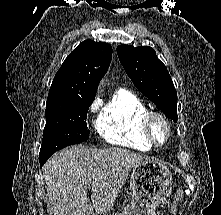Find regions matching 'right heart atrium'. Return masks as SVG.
Listing matches in <instances>:
<instances>
[{
  "instance_id": "obj_1",
  "label": "right heart atrium",
  "mask_w": 221,
  "mask_h": 215,
  "mask_svg": "<svg viewBox=\"0 0 221 215\" xmlns=\"http://www.w3.org/2000/svg\"><path fill=\"white\" fill-rule=\"evenodd\" d=\"M99 108V102L98 101H95L91 104L90 108H89V111L90 112H94L96 111L97 109Z\"/></svg>"
}]
</instances>
